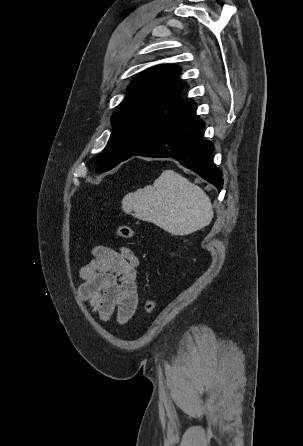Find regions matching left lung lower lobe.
I'll return each mask as SVG.
<instances>
[{"mask_svg": "<svg viewBox=\"0 0 303 446\" xmlns=\"http://www.w3.org/2000/svg\"><path fill=\"white\" fill-rule=\"evenodd\" d=\"M195 109L196 107L173 132L133 155L174 158L221 191L223 174L212 161V152L215 147L212 142L204 141L201 138V131L205 127V123L194 114ZM133 155L125 157L122 161Z\"/></svg>", "mask_w": 303, "mask_h": 446, "instance_id": "obj_1", "label": "left lung lower lobe"}]
</instances>
